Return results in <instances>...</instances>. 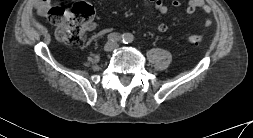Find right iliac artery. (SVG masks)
Masks as SVG:
<instances>
[{
  "instance_id": "obj_1",
  "label": "right iliac artery",
  "mask_w": 253,
  "mask_h": 138,
  "mask_svg": "<svg viewBox=\"0 0 253 138\" xmlns=\"http://www.w3.org/2000/svg\"><path fill=\"white\" fill-rule=\"evenodd\" d=\"M121 38H123V35H120L119 33H111L107 36V40L109 42H116L119 41Z\"/></svg>"
}]
</instances>
